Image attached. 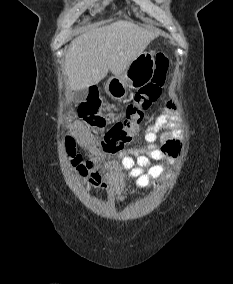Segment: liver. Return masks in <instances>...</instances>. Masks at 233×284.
Here are the masks:
<instances>
[{"label":"liver","mask_w":233,"mask_h":284,"mask_svg":"<svg viewBox=\"0 0 233 284\" xmlns=\"http://www.w3.org/2000/svg\"><path fill=\"white\" fill-rule=\"evenodd\" d=\"M157 36L129 21L87 30L70 43L65 55L69 88L79 91L97 85L108 71L122 74Z\"/></svg>","instance_id":"liver-1"}]
</instances>
